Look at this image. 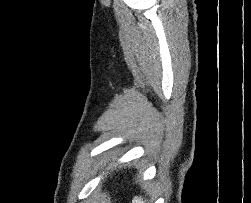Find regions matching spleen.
I'll use <instances>...</instances> for the list:
<instances>
[{"label": "spleen", "instance_id": "spleen-1", "mask_svg": "<svg viewBox=\"0 0 251 203\" xmlns=\"http://www.w3.org/2000/svg\"><path fill=\"white\" fill-rule=\"evenodd\" d=\"M132 203H144V201L141 197H134Z\"/></svg>", "mask_w": 251, "mask_h": 203}]
</instances>
